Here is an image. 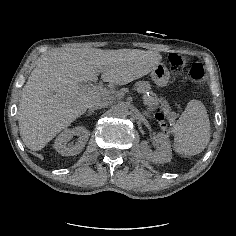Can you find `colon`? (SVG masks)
<instances>
[{"mask_svg":"<svg viewBox=\"0 0 236 236\" xmlns=\"http://www.w3.org/2000/svg\"><path fill=\"white\" fill-rule=\"evenodd\" d=\"M189 60L187 54L179 52H171L168 55V62L174 71L179 72ZM205 76V68L201 62H194L189 69V78L193 82H200ZM161 118V112L158 113V119Z\"/></svg>","mask_w":236,"mask_h":236,"instance_id":"obj_1","label":"colon"}]
</instances>
